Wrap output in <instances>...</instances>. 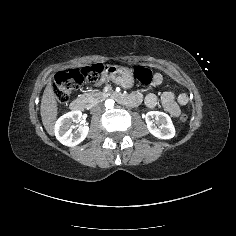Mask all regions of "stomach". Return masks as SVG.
Returning a JSON list of instances; mask_svg holds the SVG:
<instances>
[{"instance_id": "1", "label": "stomach", "mask_w": 236, "mask_h": 236, "mask_svg": "<svg viewBox=\"0 0 236 236\" xmlns=\"http://www.w3.org/2000/svg\"><path fill=\"white\" fill-rule=\"evenodd\" d=\"M107 80L128 89L134 85L133 71L127 67L116 65L105 66Z\"/></svg>"}]
</instances>
